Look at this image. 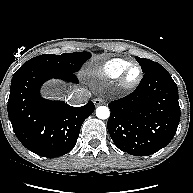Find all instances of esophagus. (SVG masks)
Returning a JSON list of instances; mask_svg holds the SVG:
<instances>
[{"label": "esophagus", "instance_id": "esophagus-1", "mask_svg": "<svg viewBox=\"0 0 193 193\" xmlns=\"http://www.w3.org/2000/svg\"><path fill=\"white\" fill-rule=\"evenodd\" d=\"M93 103H94L95 106H99L101 104H104V100L102 98H95L93 100Z\"/></svg>", "mask_w": 193, "mask_h": 193}]
</instances>
